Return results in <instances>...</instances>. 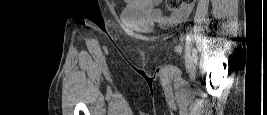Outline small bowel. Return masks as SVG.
Wrapping results in <instances>:
<instances>
[{
	"label": "small bowel",
	"mask_w": 267,
	"mask_h": 115,
	"mask_svg": "<svg viewBox=\"0 0 267 115\" xmlns=\"http://www.w3.org/2000/svg\"><path fill=\"white\" fill-rule=\"evenodd\" d=\"M160 2H161L160 0H132V1H129L128 6L129 8H132V9L145 10L152 16L158 19H161L163 16H162L161 11L158 9V5L160 4ZM190 9H191V5L184 6L181 10L173 13V15L171 16V19L173 20L183 19L184 17L187 16Z\"/></svg>",
	"instance_id": "obj_1"
}]
</instances>
